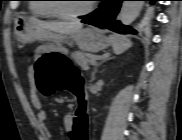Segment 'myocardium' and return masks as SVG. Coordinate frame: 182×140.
Returning a JSON list of instances; mask_svg holds the SVG:
<instances>
[{
	"instance_id": "f54148a6",
	"label": "myocardium",
	"mask_w": 182,
	"mask_h": 140,
	"mask_svg": "<svg viewBox=\"0 0 182 140\" xmlns=\"http://www.w3.org/2000/svg\"><path fill=\"white\" fill-rule=\"evenodd\" d=\"M54 1H58V0H54ZM51 6H52L54 14L56 16L60 17V18H63V19H77V18H80L82 16H85L89 12H91V10L93 8V4L89 3V4H87L86 7H84L80 11L67 12L66 10L63 9V7H62V5L60 3L54 2L53 4H51Z\"/></svg>"
}]
</instances>
